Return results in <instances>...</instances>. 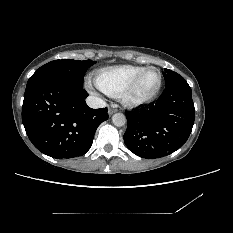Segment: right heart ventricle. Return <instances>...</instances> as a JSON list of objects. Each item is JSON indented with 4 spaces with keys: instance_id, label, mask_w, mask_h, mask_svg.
Returning a JSON list of instances; mask_svg holds the SVG:
<instances>
[{
    "instance_id": "obj_1",
    "label": "right heart ventricle",
    "mask_w": 233,
    "mask_h": 233,
    "mask_svg": "<svg viewBox=\"0 0 233 233\" xmlns=\"http://www.w3.org/2000/svg\"><path fill=\"white\" fill-rule=\"evenodd\" d=\"M145 67L120 65L101 69L96 75L98 88L111 97H120L123 89L132 78Z\"/></svg>"
}]
</instances>
